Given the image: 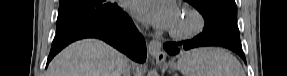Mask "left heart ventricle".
<instances>
[{
	"label": "left heart ventricle",
	"instance_id": "obj_1",
	"mask_svg": "<svg viewBox=\"0 0 287 76\" xmlns=\"http://www.w3.org/2000/svg\"><path fill=\"white\" fill-rule=\"evenodd\" d=\"M191 24V18L187 15H179L173 28L175 29H184Z\"/></svg>",
	"mask_w": 287,
	"mask_h": 76
}]
</instances>
